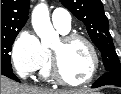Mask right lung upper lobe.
I'll list each match as a JSON object with an SVG mask.
<instances>
[{
	"instance_id": "cb5924a9",
	"label": "right lung upper lobe",
	"mask_w": 121,
	"mask_h": 94,
	"mask_svg": "<svg viewBox=\"0 0 121 94\" xmlns=\"http://www.w3.org/2000/svg\"><path fill=\"white\" fill-rule=\"evenodd\" d=\"M28 0H1V34L20 31L28 19Z\"/></svg>"
}]
</instances>
